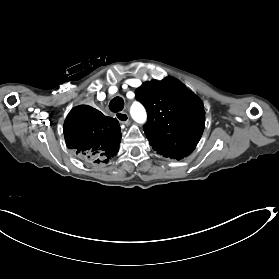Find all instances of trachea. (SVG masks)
I'll use <instances>...</instances> for the list:
<instances>
[{"mask_svg": "<svg viewBox=\"0 0 279 279\" xmlns=\"http://www.w3.org/2000/svg\"><path fill=\"white\" fill-rule=\"evenodd\" d=\"M109 108L112 112L121 111L124 108L123 98L120 96L113 98L109 103Z\"/></svg>", "mask_w": 279, "mask_h": 279, "instance_id": "trachea-1", "label": "trachea"}]
</instances>
